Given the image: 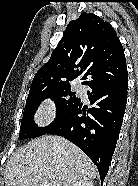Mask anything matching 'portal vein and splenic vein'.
Masks as SVG:
<instances>
[{
	"mask_svg": "<svg viewBox=\"0 0 138 186\" xmlns=\"http://www.w3.org/2000/svg\"><path fill=\"white\" fill-rule=\"evenodd\" d=\"M41 186H48L46 183H42Z\"/></svg>",
	"mask_w": 138,
	"mask_h": 186,
	"instance_id": "portal-vein-and-splenic-vein-1",
	"label": "portal vein and splenic vein"
}]
</instances>
